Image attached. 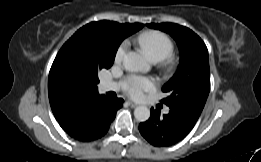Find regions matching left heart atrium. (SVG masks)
Listing matches in <instances>:
<instances>
[{
  "instance_id": "1",
  "label": "left heart atrium",
  "mask_w": 261,
  "mask_h": 162,
  "mask_svg": "<svg viewBox=\"0 0 261 162\" xmlns=\"http://www.w3.org/2000/svg\"><path fill=\"white\" fill-rule=\"evenodd\" d=\"M127 91L134 98H140L145 92L155 89L156 82L151 78L130 76L126 79Z\"/></svg>"
}]
</instances>
